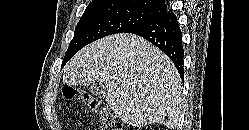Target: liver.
I'll use <instances>...</instances> for the list:
<instances>
[{
	"label": "liver",
	"mask_w": 249,
	"mask_h": 130,
	"mask_svg": "<svg viewBox=\"0 0 249 130\" xmlns=\"http://www.w3.org/2000/svg\"><path fill=\"white\" fill-rule=\"evenodd\" d=\"M63 81L102 84L107 104L128 125H178L180 75L168 56L139 36L116 34L84 47L66 64Z\"/></svg>",
	"instance_id": "obj_1"
}]
</instances>
